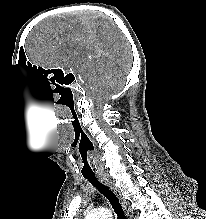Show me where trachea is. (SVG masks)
Returning a JSON list of instances; mask_svg holds the SVG:
<instances>
[{
    "mask_svg": "<svg viewBox=\"0 0 206 219\" xmlns=\"http://www.w3.org/2000/svg\"><path fill=\"white\" fill-rule=\"evenodd\" d=\"M84 178L87 179L101 194L108 199L117 215V219H127L122 206L119 203L118 197L107 185L101 183L95 174L84 175Z\"/></svg>",
    "mask_w": 206,
    "mask_h": 219,
    "instance_id": "3493384b",
    "label": "trachea"
}]
</instances>
